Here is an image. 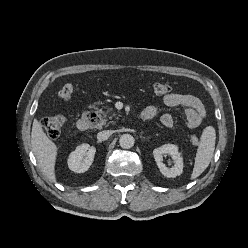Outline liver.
Instances as JSON below:
<instances>
[{"mask_svg": "<svg viewBox=\"0 0 248 248\" xmlns=\"http://www.w3.org/2000/svg\"><path fill=\"white\" fill-rule=\"evenodd\" d=\"M31 144L42 172L50 181L56 182L55 162L58 148L45 134L41 123L37 119H34L32 125Z\"/></svg>", "mask_w": 248, "mask_h": 248, "instance_id": "liver-1", "label": "liver"}]
</instances>
